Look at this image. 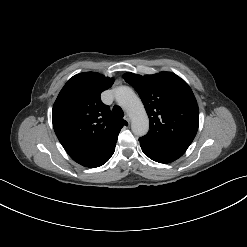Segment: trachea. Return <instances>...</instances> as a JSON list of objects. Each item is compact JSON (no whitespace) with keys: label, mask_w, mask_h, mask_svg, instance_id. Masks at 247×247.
I'll list each match as a JSON object with an SVG mask.
<instances>
[{"label":"trachea","mask_w":247,"mask_h":247,"mask_svg":"<svg viewBox=\"0 0 247 247\" xmlns=\"http://www.w3.org/2000/svg\"><path fill=\"white\" fill-rule=\"evenodd\" d=\"M113 113L115 116H117L119 118H122L124 116V112L119 106L113 107Z\"/></svg>","instance_id":"obj_1"}]
</instances>
